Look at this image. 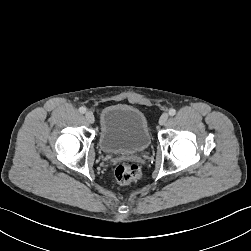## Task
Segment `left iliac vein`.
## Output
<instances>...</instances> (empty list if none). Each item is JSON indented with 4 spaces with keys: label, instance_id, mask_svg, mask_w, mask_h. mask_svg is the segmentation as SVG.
Wrapping results in <instances>:
<instances>
[{
    "label": "left iliac vein",
    "instance_id": "left-iliac-vein-1",
    "mask_svg": "<svg viewBox=\"0 0 251 251\" xmlns=\"http://www.w3.org/2000/svg\"><path fill=\"white\" fill-rule=\"evenodd\" d=\"M169 118V115L167 113H163L159 119V124L164 125Z\"/></svg>",
    "mask_w": 251,
    "mask_h": 251
}]
</instances>
